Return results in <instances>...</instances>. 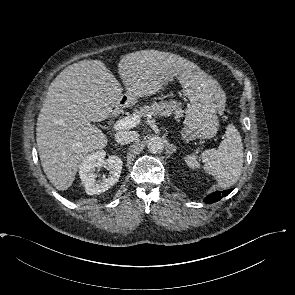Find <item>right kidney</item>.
<instances>
[{
    "instance_id": "obj_1",
    "label": "right kidney",
    "mask_w": 295,
    "mask_h": 295,
    "mask_svg": "<svg viewBox=\"0 0 295 295\" xmlns=\"http://www.w3.org/2000/svg\"><path fill=\"white\" fill-rule=\"evenodd\" d=\"M105 151H97L86 156L79 166V175L85 191L89 195L101 194L115 185L120 177L123 161L115 155L105 159ZM105 167L109 170L108 176L96 181L95 169Z\"/></svg>"
}]
</instances>
